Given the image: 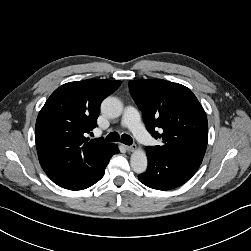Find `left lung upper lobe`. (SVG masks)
<instances>
[{
	"label": "left lung upper lobe",
	"mask_w": 251,
	"mask_h": 251,
	"mask_svg": "<svg viewBox=\"0 0 251 251\" xmlns=\"http://www.w3.org/2000/svg\"><path fill=\"white\" fill-rule=\"evenodd\" d=\"M129 90L147 130L162 140L161 145L146 147V152L201 163L208 142V123L192 91L162 79L130 80Z\"/></svg>",
	"instance_id": "obj_1"
}]
</instances>
